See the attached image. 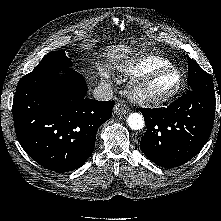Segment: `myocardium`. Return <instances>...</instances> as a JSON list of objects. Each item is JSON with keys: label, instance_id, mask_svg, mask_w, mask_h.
I'll use <instances>...</instances> for the list:
<instances>
[{"label": "myocardium", "instance_id": "1", "mask_svg": "<svg viewBox=\"0 0 221 221\" xmlns=\"http://www.w3.org/2000/svg\"><path fill=\"white\" fill-rule=\"evenodd\" d=\"M166 73H175L178 81L174 88L164 93H152L148 90L150 83L158 76ZM184 77L182 72L174 67L156 69L135 78L128 87L130 99L141 105H161L172 100L182 89Z\"/></svg>", "mask_w": 221, "mask_h": 221}]
</instances>
